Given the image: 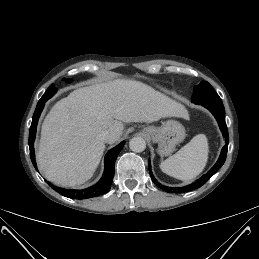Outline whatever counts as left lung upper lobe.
<instances>
[{
  "instance_id": "left-lung-upper-lobe-1",
  "label": "left lung upper lobe",
  "mask_w": 259,
  "mask_h": 259,
  "mask_svg": "<svg viewBox=\"0 0 259 259\" xmlns=\"http://www.w3.org/2000/svg\"><path fill=\"white\" fill-rule=\"evenodd\" d=\"M192 102L196 104L206 102H221V98L208 82L202 81L194 88Z\"/></svg>"
}]
</instances>
